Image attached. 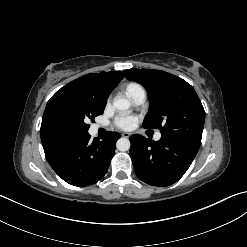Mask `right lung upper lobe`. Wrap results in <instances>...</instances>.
I'll return each instance as SVG.
<instances>
[{"instance_id": "right-lung-upper-lobe-1", "label": "right lung upper lobe", "mask_w": 247, "mask_h": 247, "mask_svg": "<svg viewBox=\"0 0 247 247\" xmlns=\"http://www.w3.org/2000/svg\"><path fill=\"white\" fill-rule=\"evenodd\" d=\"M123 77L124 74L122 71L102 72L98 74L90 73L73 80L59 89L48 101L42 118L40 135L43 147L68 141V139L56 135L48 124V116L58 102L69 96L82 95L97 104L105 105L109 94Z\"/></svg>"}]
</instances>
